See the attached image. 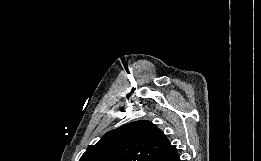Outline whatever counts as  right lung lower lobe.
<instances>
[{
  "label": "right lung lower lobe",
  "instance_id": "98d812e1",
  "mask_svg": "<svg viewBox=\"0 0 261 161\" xmlns=\"http://www.w3.org/2000/svg\"><path fill=\"white\" fill-rule=\"evenodd\" d=\"M162 161H180V158H179L178 153H175L174 155L169 156Z\"/></svg>",
  "mask_w": 261,
  "mask_h": 161
}]
</instances>
